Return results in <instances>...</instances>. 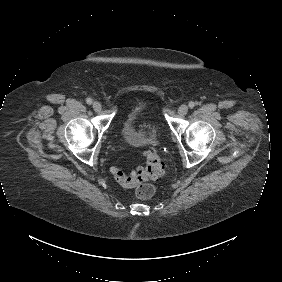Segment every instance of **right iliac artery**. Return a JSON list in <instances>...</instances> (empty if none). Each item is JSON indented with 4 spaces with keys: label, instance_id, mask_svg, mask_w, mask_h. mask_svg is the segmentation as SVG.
I'll list each match as a JSON object with an SVG mask.
<instances>
[{
    "label": "right iliac artery",
    "instance_id": "right-iliac-artery-1",
    "mask_svg": "<svg viewBox=\"0 0 282 282\" xmlns=\"http://www.w3.org/2000/svg\"><path fill=\"white\" fill-rule=\"evenodd\" d=\"M86 102H87V104L91 105L92 102H93V100H92L91 98H87V99H86Z\"/></svg>",
    "mask_w": 282,
    "mask_h": 282
}]
</instances>
